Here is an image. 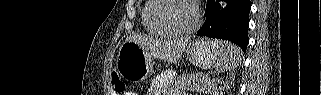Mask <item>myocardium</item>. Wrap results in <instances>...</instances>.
Instances as JSON below:
<instances>
[{
    "label": "myocardium",
    "mask_w": 321,
    "mask_h": 95,
    "mask_svg": "<svg viewBox=\"0 0 321 95\" xmlns=\"http://www.w3.org/2000/svg\"><path fill=\"white\" fill-rule=\"evenodd\" d=\"M151 1H152V5L150 6V9L148 12V18L152 23V25L163 34L169 35V36L184 37V36H189L193 34L199 28L201 23V14H200L199 6L196 1L182 0L189 3L192 6L194 11V22L192 26L187 30H183V31L175 30L167 25L162 24L156 19V16H155L156 10L160 7L162 3H167L173 0H151Z\"/></svg>",
    "instance_id": "1"
}]
</instances>
